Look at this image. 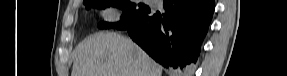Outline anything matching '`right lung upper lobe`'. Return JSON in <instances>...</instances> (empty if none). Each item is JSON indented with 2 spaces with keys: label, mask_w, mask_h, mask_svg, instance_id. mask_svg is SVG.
Listing matches in <instances>:
<instances>
[{
  "label": "right lung upper lobe",
  "mask_w": 287,
  "mask_h": 76,
  "mask_svg": "<svg viewBox=\"0 0 287 76\" xmlns=\"http://www.w3.org/2000/svg\"><path fill=\"white\" fill-rule=\"evenodd\" d=\"M87 1H88V0H84V2H87ZM84 2H83V3H84Z\"/></svg>",
  "instance_id": "1"
}]
</instances>
